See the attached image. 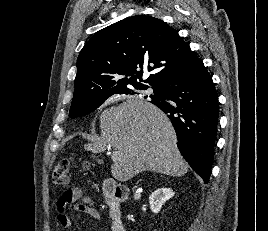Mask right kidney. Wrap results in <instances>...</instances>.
<instances>
[{"label":"right kidney","mask_w":268,"mask_h":231,"mask_svg":"<svg viewBox=\"0 0 268 231\" xmlns=\"http://www.w3.org/2000/svg\"><path fill=\"white\" fill-rule=\"evenodd\" d=\"M171 188H158L149 197L150 208L153 213L157 214L161 210L164 203L174 196Z\"/></svg>","instance_id":"1"}]
</instances>
